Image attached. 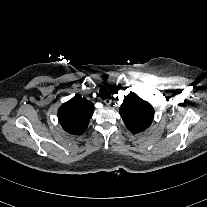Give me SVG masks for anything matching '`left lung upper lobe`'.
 Listing matches in <instances>:
<instances>
[{"instance_id":"1","label":"left lung upper lobe","mask_w":207,"mask_h":207,"mask_svg":"<svg viewBox=\"0 0 207 207\" xmlns=\"http://www.w3.org/2000/svg\"><path fill=\"white\" fill-rule=\"evenodd\" d=\"M119 111L125 125L134 134L147 129L154 117L153 107L134 94L125 96Z\"/></svg>"}]
</instances>
